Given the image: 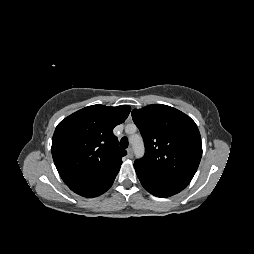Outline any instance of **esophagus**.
I'll use <instances>...</instances> for the list:
<instances>
[{
	"label": "esophagus",
	"instance_id": "esophagus-1",
	"mask_svg": "<svg viewBox=\"0 0 254 254\" xmlns=\"http://www.w3.org/2000/svg\"><path fill=\"white\" fill-rule=\"evenodd\" d=\"M127 155H128L129 158H132V157H133V149H132L131 147H129V148L127 149Z\"/></svg>",
	"mask_w": 254,
	"mask_h": 254
}]
</instances>
